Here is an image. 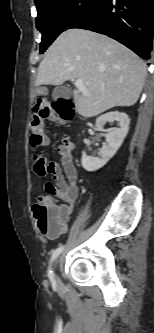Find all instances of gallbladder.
Masks as SVG:
<instances>
[{
    "label": "gallbladder",
    "instance_id": "gallbladder-1",
    "mask_svg": "<svg viewBox=\"0 0 154 333\" xmlns=\"http://www.w3.org/2000/svg\"><path fill=\"white\" fill-rule=\"evenodd\" d=\"M39 92L41 95H47L48 90L46 88H42ZM52 96L54 99L69 98L71 96V92L70 89L66 86H57L56 88H54Z\"/></svg>",
    "mask_w": 154,
    "mask_h": 333
}]
</instances>
